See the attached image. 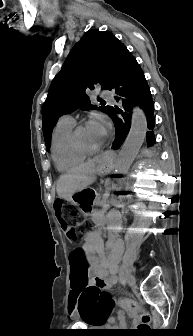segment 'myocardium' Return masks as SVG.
<instances>
[{
	"mask_svg": "<svg viewBox=\"0 0 193 336\" xmlns=\"http://www.w3.org/2000/svg\"><path fill=\"white\" fill-rule=\"evenodd\" d=\"M87 124L86 123H81L79 124L77 127H75L73 129L72 132V142L73 145L75 146L76 149H78L80 152L86 154V155H92V154H96L99 151H101V149L104 146V143H100L98 146L95 147H89L86 146L85 144H83L79 138V132L80 130H82Z\"/></svg>",
	"mask_w": 193,
	"mask_h": 336,
	"instance_id": "obj_1",
	"label": "myocardium"
}]
</instances>
